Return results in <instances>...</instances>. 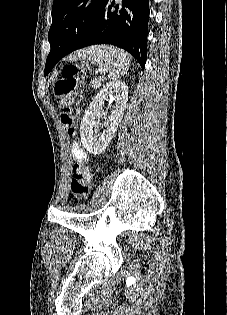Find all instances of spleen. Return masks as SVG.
<instances>
[{
  "label": "spleen",
  "instance_id": "spleen-1",
  "mask_svg": "<svg viewBox=\"0 0 227 315\" xmlns=\"http://www.w3.org/2000/svg\"><path fill=\"white\" fill-rule=\"evenodd\" d=\"M71 60L88 59L99 66L100 73H108L109 79L116 80L126 74L130 59L127 53L114 47L98 46L77 51ZM95 86V85H94Z\"/></svg>",
  "mask_w": 227,
  "mask_h": 315
}]
</instances>
